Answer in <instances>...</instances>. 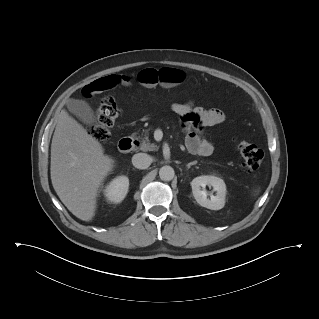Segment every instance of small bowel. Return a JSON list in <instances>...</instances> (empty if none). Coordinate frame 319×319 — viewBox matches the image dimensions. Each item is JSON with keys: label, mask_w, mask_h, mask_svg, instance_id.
Instances as JSON below:
<instances>
[{"label": "small bowel", "mask_w": 319, "mask_h": 319, "mask_svg": "<svg viewBox=\"0 0 319 319\" xmlns=\"http://www.w3.org/2000/svg\"><path fill=\"white\" fill-rule=\"evenodd\" d=\"M185 75L181 70L162 68H147L138 74L141 85L151 88L157 85L173 87L182 83ZM133 78L128 75H108L97 79L83 88V94L89 96L112 89L118 85L131 86ZM172 111L180 116L181 125L186 132L185 145L187 149L200 156H210L214 151L213 144L200 135V131L208 126L221 124L225 120L223 111L211 108L206 109L195 105L192 101L174 103Z\"/></svg>", "instance_id": "1"}]
</instances>
